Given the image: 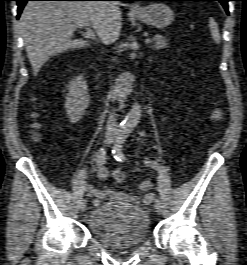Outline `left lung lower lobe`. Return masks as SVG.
<instances>
[{"mask_svg":"<svg viewBox=\"0 0 247 265\" xmlns=\"http://www.w3.org/2000/svg\"><path fill=\"white\" fill-rule=\"evenodd\" d=\"M128 1H179V0H128ZM194 1H219L227 14H229V10H228V1H231V0H194Z\"/></svg>","mask_w":247,"mask_h":265,"instance_id":"left-lung-lower-lobe-1","label":"left lung lower lobe"}]
</instances>
